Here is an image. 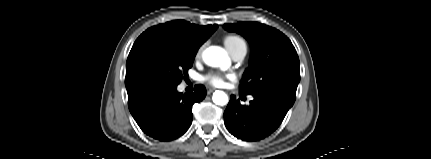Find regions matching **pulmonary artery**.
I'll return each instance as SVG.
<instances>
[{
    "instance_id": "obj_1",
    "label": "pulmonary artery",
    "mask_w": 431,
    "mask_h": 159,
    "mask_svg": "<svg viewBox=\"0 0 431 159\" xmlns=\"http://www.w3.org/2000/svg\"><path fill=\"white\" fill-rule=\"evenodd\" d=\"M246 52H247L246 45H241L236 49H234L233 51H231L230 54L235 61H241L245 57Z\"/></svg>"
}]
</instances>
